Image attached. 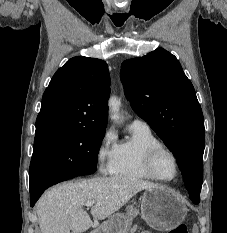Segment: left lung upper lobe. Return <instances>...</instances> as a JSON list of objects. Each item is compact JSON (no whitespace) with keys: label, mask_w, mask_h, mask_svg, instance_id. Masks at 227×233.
Masks as SVG:
<instances>
[{"label":"left lung upper lobe","mask_w":227,"mask_h":233,"mask_svg":"<svg viewBox=\"0 0 227 233\" xmlns=\"http://www.w3.org/2000/svg\"><path fill=\"white\" fill-rule=\"evenodd\" d=\"M125 95L176 157L192 201L200 202L204 118L194 87L177 58L163 48L121 66Z\"/></svg>","instance_id":"left-lung-upper-lobe-1"}]
</instances>
